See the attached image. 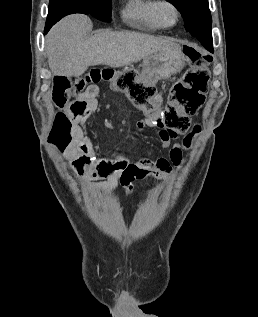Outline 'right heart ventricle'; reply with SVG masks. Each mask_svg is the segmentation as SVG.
<instances>
[{"label":"right heart ventricle","mask_w":258,"mask_h":317,"mask_svg":"<svg viewBox=\"0 0 258 317\" xmlns=\"http://www.w3.org/2000/svg\"><path fill=\"white\" fill-rule=\"evenodd\" d=\"M158 0H129L121 11L122 19L142 28L145 31L156 32L161 29L155 18Z\"/></svg>","instance_id":"1"}]
</instances>
